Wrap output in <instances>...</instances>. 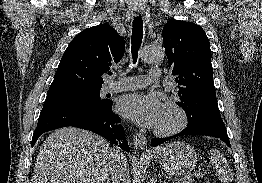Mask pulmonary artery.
<instances>
[{"label": "pulmonary artery", "mask_w": 262, "mask_h": 183, "mask_svg": "<svg viewBox=\"0 0 262 183\" xmlns=\"http://www.w3.org/2000/svg\"><path fill=\"white\" fill-rule=\"evenodd\" d=\"M161 78V70L152 68L147 76L122 77L118 81L109 83L106 86L107 92H119L127 90H136L145 87L149 83L156 82Z\"/></svg>", "instance_id": "pulmonary-artery-1"}]
</instances>
